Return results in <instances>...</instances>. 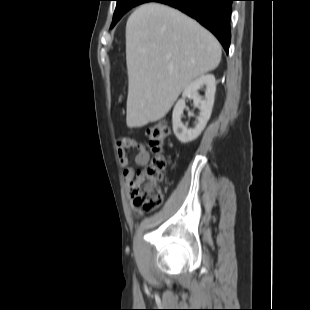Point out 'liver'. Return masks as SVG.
<instances>
[{
  "label": "liver",
  "mask_w": 310,
  "mask_h": 310,
  "mask_svg": "<svg viewBox=\"0 0 310 310\" xmlns=\"http://www.w3.org/2000/svg\"><path fill=\"white\" fill-rule=\"evenodd\" d=\"M221 54L217 39L180 11L138 7L126 24L127 126L163 118L194 79L217 68Z\"/></svg>",
  "instance_id": "6515ba94"
}]
</instances>
